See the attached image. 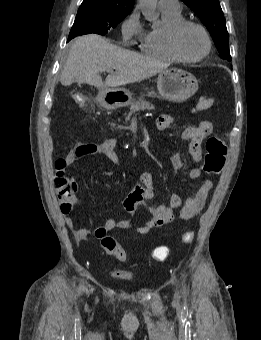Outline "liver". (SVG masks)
<instances>
[{
  "label": "liver",
  "mask_w": 261,
  "mask_h": 340,
  "mask_svg": "<svg viewBox=\"0 0 261 340\" xmlns=\"http://www.w3.org/2000/svg\"><path fill=\"white\" fill-rule=\"evenodd\" d=\"M167 64L108 43L97 34L78 37L71 46L61 84L86 83L98 89L140 82L160 73ZM109 74L102 81L100 73Z\"/></svg>",
  "instance_id": "liver-1"
}]
</instances>
